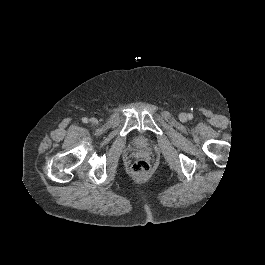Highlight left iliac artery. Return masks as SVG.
I'll list each match as a JSON object with an SVG mask.
<instances>
[{
  "label": "left iliac artery",
  "instance_id": "44dca946",
  "mask_svg": "<svg viewBox=\"0 0 265 265\" xmlns=\"http://www.w3.org/2000/svg\"><path fill=\"white\" fill-rule=\"evenodd\" d=\"M188 119L189 120L193 119V115L192 114H188Z\"/></svg>",
  "mask_w": 265,
  "mask_h": 265
}]
</instances>
